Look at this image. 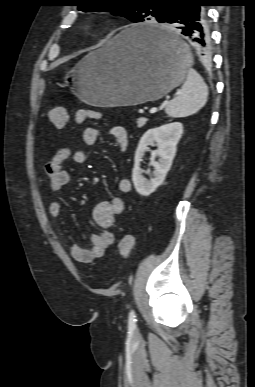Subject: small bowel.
<instances>
[{"mask_svg": "<svg viewBox=\"0 0 255 387\" xmlns=\"http://www.w3.org/2000/svg\"><path fill=\"white\" fill-rule=\"evenodd\" d=\"M109 133L115 139L119 149L125 151L128 146V133L122 126H112ZM100 138L99 131L94 127H86L82 132L83 142L87 146L98 144ZM88 154L85 149H71L62 147L56 151L52 158L45 164V174L49 181L50 189L59 192L70 184V174L63 168V164L71 160L76 164H84L87 161ZM117 189L120 193L126 194L131 191V181L128 178H122L117 183ZM125 204L121 197L115 196L109 201L99 202L92 211V219L98 229L90 237V246L83 248L77 244L71 243L69 246L72 257L82 263H90L103 256L106 249L114 243V234L110 230L116 225L117 216L124 211ZM49 214L57 219L62 212V206L54 201L49 205Z\"/></svg>", "mask_w": 255, "mask_h": 387, "instance_id": "1", "label": "small bowel"}]
</instances>
